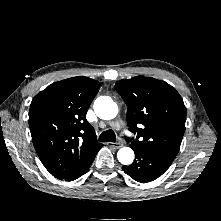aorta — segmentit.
Wrapping results in <instances>:
<instances>
[{
  "label": "aorta",
  "mask_w": 221,
  "mask_h": 221,
  "mask_svg": "<svg viewBox=\"0 0 221 221\" xmlns=\"http://www.w3.org/2000/svg\"><path fill=\"white\" fill-rule=\"evenodd\" d=\"M96 115L104 120H110L117 116L118 106L108 96H100L94 102ZM117 158L123 165H130L134 160V152L129 147H123L117 152Z\"/></svg>",
  "instance_id": "aorta-1"
}]
</instances>
